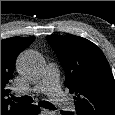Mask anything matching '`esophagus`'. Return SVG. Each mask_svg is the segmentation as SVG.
<instances>
[{"label": "esophagus", "mask_w": 115, "mask_h": 115, "mask_svg": "<svg viewBox=\"0 0 115 115\" xmlns=\"http://www.w3.org/2000/svg\"><path fill=\"white\" fill-rule=\"evenodd\" d=\"M41 112L44 114V115H55V111H52V110H47V109H42Z\"/></svg>", "instance_id": "1"}]
</instances>
